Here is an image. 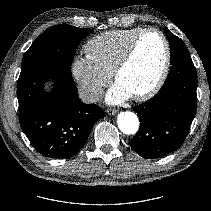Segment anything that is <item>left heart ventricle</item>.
I'll return each mask as SVG.
<instances>
[{"instance_id":"obj_1","label":"left heart ventricle","mask_w":211,"mask_h":211,"mask_svg":"<svg viewBox=\"0 0 211 211\" xmlns=\"http://www.w3.org/2000/svg\"><path fill=\"white\" fill-rule=\"evenodd\" d=\"M164 44L156 33L144 35L130 65L119 75L117 82L132 95L149 89L157 80L164 63Z\"/></svg>"}]
</instances>
